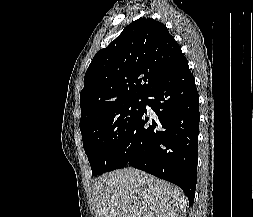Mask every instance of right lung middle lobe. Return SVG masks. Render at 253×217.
I'll list each match as a JSON object with an SVG mask.
<instances>
[{
    "label": "right lung middle lobe",
    "instance_id": "dd1d6c3e",
    "mask_svg": "<svg viewBox=\"0 0 253 217\" xmlns=\"http://www.w3.org/2000/svg\"><path fill=\"white\" fill-rule=\"evenodd\" d=\"M144 103V97L121 101L80 125L92 176L111 170L116 154L144 110Z\"/></svg>",
    "mask_w": 253,
    "mask_h": 217
}]
</instances>
